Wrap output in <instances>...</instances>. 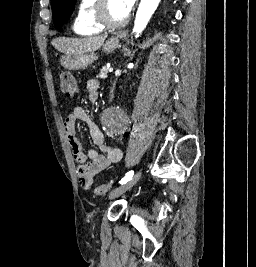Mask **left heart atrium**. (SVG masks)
I'll return each mask as SVG.
<instances>
[{"instance_id":"1","label":"left heart atrium","mask_w":256,"mask_h":267,"mask_svg":"<svg viewBox=\"0 0 256 267\" xmlns=\"http://www.w3.org/2000/svg\"><path fill=\"white\" fill-rule=\"evenodd\" d=\"M136 0H114L121 15L122 21L117 27H123L126 25L128 18L133 10Z\"/></svg>"}]
</instances>
